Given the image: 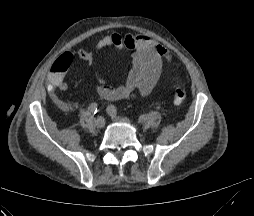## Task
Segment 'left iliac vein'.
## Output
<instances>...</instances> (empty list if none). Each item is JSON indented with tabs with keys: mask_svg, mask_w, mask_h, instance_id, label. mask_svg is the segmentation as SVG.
I'll list each match as a JSON object with an SVG mask.
<instances>
[{
	"mask_svg": "<svg viewBox=\"0 0 254 216\" xmlns=\"http://www.w3.org/2000/svg\"><path fill=\"white\" fill-rule=\"evenodd\" d=\"M109 115L111 116V118L115 121H121V122H125V123H129V119L125 118V117H120L114 113L108 112Z\"/></svg>",
	"mask_w": 254,
	"mask_h": 216,
	"instance_id": "1",
	"label": "left iliac vein"
}]
</instances>
